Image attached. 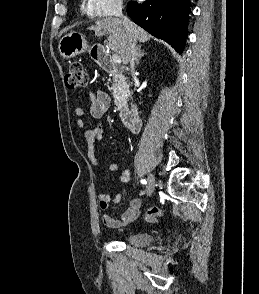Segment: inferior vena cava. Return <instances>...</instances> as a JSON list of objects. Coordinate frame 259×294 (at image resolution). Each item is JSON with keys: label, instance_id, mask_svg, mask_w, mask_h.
Wrapping results in <instances>:
<instances>
[{"label": "inferior vena cava", "instance_id": "1", "mask_svg": "<svg viewBox=\"0 0 259 294\" xmlns=\"http://www.w3.org/2000/svg\"><path fill=\"white\" fill-rule=\"evenodd\" d=\"M116 17H118V19L121 21L126 31L130 32L132 27V22L126 16L123 15L121 4H119L117 7ZM136 54H137L136 41L132 37H130L129 43H128V56H129V62H130L132 71L134 70V66H135Z\"/></svg>", "mask_w": 259, "mask_h": 294}]
</instances>
